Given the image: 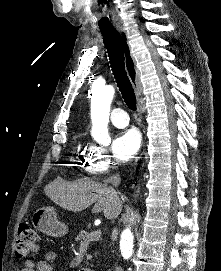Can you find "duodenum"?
<instances>
[{
	"label": "duodenum",
	"mask_w": 221,
	"mask_h": 271,
	"mask_svg": "<svg viewBox=\"0 0 221 271\" xmlns=\"http://www.w3.org/2000/svg\"><path fill=\"white\" fill-rule=\"evenodd\" d=\"M80 271H94V270L91 269V268H83V269H81Z\"/></svg>",
	"instance_id": "410a0bca"
}]
</instances>
